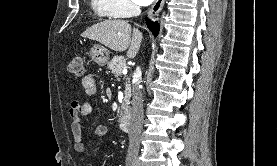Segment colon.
<instances>
[{
  "label": "colon",
  "instance_id": "colon-1",
  "mask_svg": "<svg viewBox=\"0 0 277 166\" xmlns=\"http://www.w3.org/2000/svg\"><path fill=\"white\" fill-rule=\"evenodd\" d=\"M67 69L70 73H72L75 76H81L84 71L83 67V59L81 56L76 55L71 58V60L68 63Z\"/></svg>",
  "mask_w": 277,
  "mask_h": 166
}]
</instances>
